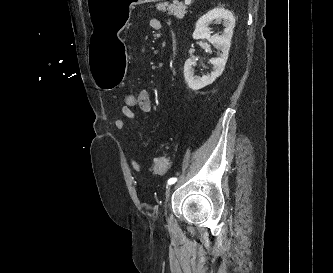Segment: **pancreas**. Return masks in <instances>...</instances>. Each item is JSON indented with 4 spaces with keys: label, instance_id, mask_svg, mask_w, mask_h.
I'll return each mask as SVG.
<instances>
[{
    "label": "pancreas",
    "instance_id": "cf45deb5",
    "mask_svg": "<svg viewBox=\"0 0 333 273\" xmlns=\"http://www.w3.org/2000/svg\"><path fill=\"white\" fill-rule=\"evenodd\" d=\"M159 11L168 12L169 15H174L177 19H183L186 11V6L182 2L174 1L172 4L165 2L156 5Z\"/></svg>",
    "mask_w": 333,
    "mask_h": 273
}]
</instances>
